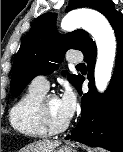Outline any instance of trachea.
Here are the masks:
<instances>
[{
  "mask_svg": "<svg viewBox=\"0 0 123 152\" xmlns=\"http://www.w3.org/2000/svg\"><path fill=\"white\" fill-rule=\"evenodd\" d=\"M76 68L78 69H82V68H86L85 65L83 63H80L76 66Z\"/></svg>",
  "mask_w": 123,
  "mask_h": 152,
  "instance_id": "trachea-1",
  "label": "trachea"
}]
</instances>
